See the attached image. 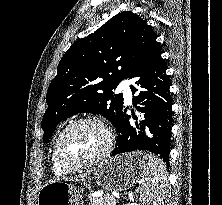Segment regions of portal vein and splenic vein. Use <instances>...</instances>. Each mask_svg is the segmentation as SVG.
<instances>
[{
    "label": "portal vein and splenic vein",
    "instance_id": "obj_1",
    "mask_svg": "<svg viewBox=\"0 0 222 205\" xmlns=\"http://www.w3.org/2000/svg\"><path fill=\"white\" fill-rule=\"evenodd\" d=\"M117 198H119V196H118V194L117 195H115Z\"/></svg>",
    "mask_w": 222,
    "mask_h": 205
}]
</instances>
